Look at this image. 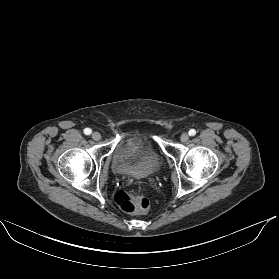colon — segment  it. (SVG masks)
I'll return each instance as SVG.
<instances>
[{
  "instance_id": "5ec220e1",
  "label": "colon",
  "mask_w": 279,
  "mask_h": 279,
  "mask_svg": "<svg viewBox=\"0 0 279 279\" xmlns=\"http://www.w3.org/2000/svg\"><path fill=\"white\" fill-rule=\"evenodd\" d=\"M115 201L125 213L145 214L150 206L147 198L135 196L125 190L116 192Z\"/></svg>"
}]
</instances>
